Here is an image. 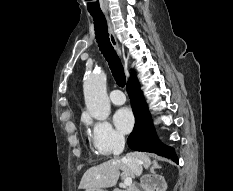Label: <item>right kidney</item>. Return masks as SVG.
I'll list each match as a JSON object with an SVG mask.
<instances>
[{
  "label": "right kidney",
  "instance_id": "ca27d5eb",
  "mask_svg": "<svg viewBox=\"0 0 233 191\" xmlns=\"http://www.w3.org/2000/svg\"><path fill=\"white\" fill-rule=\"evenodd\" d=\"M167 183L163 176L155 175V179L146 187L145 191H166Z\"/></svg>",
  "mask_w": 233,
  "mask_h": 191
}]
</instances>
